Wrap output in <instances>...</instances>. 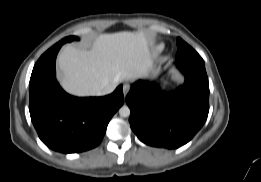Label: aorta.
<instances>
[{
  "label": "aorta",
  "instance_id": "1",
  "mask_svg": "<svg viewBox=\"0 0 261 182\" xmlns=\"http://www.w3.org/2000/svg\"><path fill=\"white\" fill-rule=\"evenodd\" d=\"M119 114L121 117H129L130 115V109L128 106H122L120 109H119Z\"/></svg>",
  "mask_w": 261,
  "mask_h": 182
}]
</instances>
